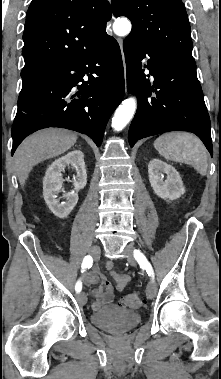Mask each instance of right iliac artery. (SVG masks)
Instances as JSON below:
<instances>
[{
	"label": "right iliac artery",
	"instance_id": "1",
	"mask_svg": "<svg viewBox=\"0 0 221 379\" xmlns=\"http://www.w3.org/2000/svg\"><path fill=\"white\" fill-rule=\"evenodd\" d=\"M92 263H93L92 257L90 255L85 256L82 263V272L87 268L89 269L92 266ZM81 289H82V282L78 280L75 285V290L77 293H79Z\"/></svg>",
	"mask_w": 221,
	"mask_h": 379
}]
</instances>
